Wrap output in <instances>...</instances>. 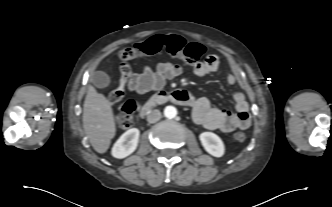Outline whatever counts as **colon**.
Returning a JSON list of instances; mask_svg holds the SVG:
<instances>
[{
	"mask_svg": "<svg viewBox=\"0 0 332 207\" xmlns=\"http://www.w3.org/2000/svg\"><path fill=\"white\" fill-rule=\"evenodd\" d=\"M165 50L168 54L179 58L190 65L198 63L203 55V46L195 42H187L179 35H155L148 40L126 47L119 52L121 60V77L122 73H126L129 69L127 62L129 60L140 58L147 55H154ZM124 89L121 82L114 87L109 95L111 103L115 104L122 100ZM135 103L128 100L121 105V113L117 119V125L120 129H128L132 125L133 114L135 111ZM236 142H244L246 137L242 132L233 134Z\"/></svg>",
	"mask_w": 332,
	"mask_h": 207,
	"instance_id": "1",
	"label": "colon"
}]
</instances>
